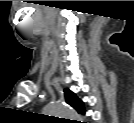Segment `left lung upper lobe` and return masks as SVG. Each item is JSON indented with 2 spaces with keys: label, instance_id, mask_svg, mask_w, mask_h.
<instances>
[{
  "label": "left lung upper lobe",
  "instance_id": "5c2ea615",
  "mask_svg": "<svg viewBox=\"0 0 134 123\" xmlns=\"http://www.w3.org/2000/svg\"><path fill=\"white\" fill-rule=\"evenodd\" d=\"M66 102L75 108L79 113H84L83 102L68 88L64 90Z\"/></svg>",
  "mask_w": 134,
  "mask_h": 123
}]
</instances>
